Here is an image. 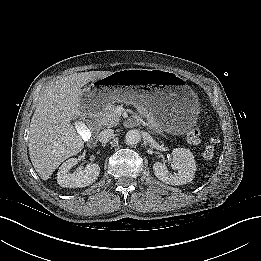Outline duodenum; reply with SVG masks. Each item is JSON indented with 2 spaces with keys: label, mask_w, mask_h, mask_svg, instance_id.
I'll use <instances>...</instances> for the list:
<instances>
[{
  "label": "duodenum",
  "mask_w": 261,
  "mask_h": 261,
  "mask_svg": "<svg viewBox=\"0 0 261 261\" xmlns=\"http://www.w3.org/2000/svg\"><path fill=\"white\" fill-rule=\"evenodd\" d=\"M88 126L94 131H98L101 126V118L96 114L90 115L88 118Z\"/></svg>",
  "instance_id": "duodenum-1"
}]
</instances>
